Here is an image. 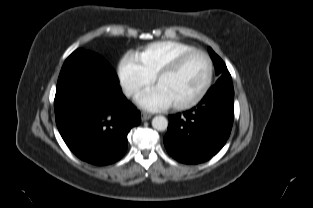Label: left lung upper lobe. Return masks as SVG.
I'll return each instance as SVG.
<instances>
[{
	"instance_id": "1",
	"label": "left lung upper lobe",
	"mask_w": 313,
	"mask_h": 208,
	"mask_svg": "<svg viewBox=\"0 0 313 208\" xmlns=\"http://www.w3.org/2000/svg\"><path fill=\"white\" fill-rule=\"evenodd\" d=\"M210 55L215 65L216 74L219 76L217 83L229 82L232 83L231 75L222 61V59L215 54V52L210 48ZM216 83V84H217Z\"/></svg>"
}]
</instances>
